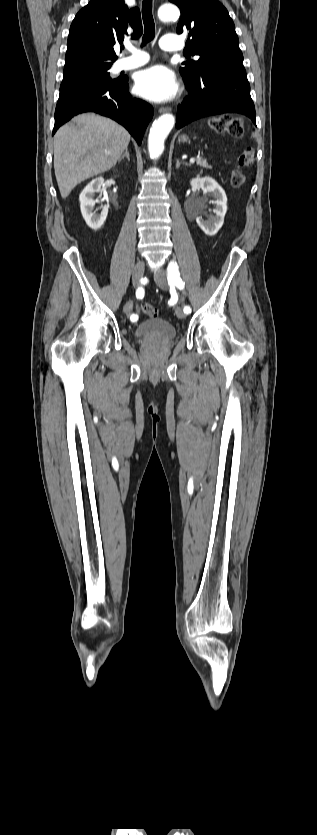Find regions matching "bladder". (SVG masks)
Wrapping results in <instances>:
<instances>
[{
	"label": "bladder",
	"mask_w": 317,
	"mask_h": 835,
	"mask_svg": "<svg viewBox=\"0 0 317 835\" xmlns=\"http://www.w3.org/2000/svg\"><path fill=\"white\" fill-rule=\"evenodd\" d=\"M134 334L138 340L161 344L172 341L177 331L169 321L150 317L137 325Z\"/></svg>",
	"instance_id": "1"
}]
</instances>
